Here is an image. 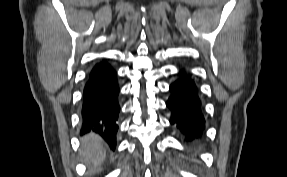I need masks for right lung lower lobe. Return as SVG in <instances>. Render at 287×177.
Returning <instances> with one entry per match:
<instances>
[{"label": "right lung lower lobe", "mask_w": 287, "mask_h": 177, "mask_svg": "<svg viewBox=\"0 0 287 177\" xmlns=\"http://www.w3.org/2000/svg\"><path fill=\"white\" fill-rule=\"evenodd\" d=\"M118 95L115 70L106 61L97 63L90 71L83 90L81 132L98 133L113 149L120 111Z\"/></svg>", "instance_id": "right-lung-lower-lobe-1"}]
</instances>
